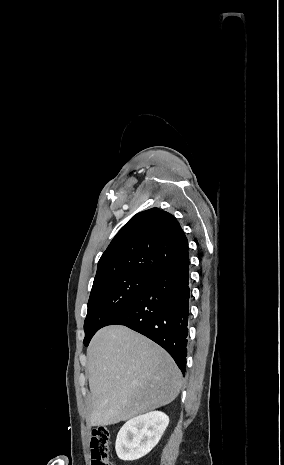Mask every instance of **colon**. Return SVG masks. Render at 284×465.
I'll return each mask as SVG.
<instances>
[{
  "instance_id": "1",
  "label": "colon",
  "mask_w": 284,
  "mask_h": 465,
  "mask_svg": "<svg viewBox=\"0 0 284 465\" xmlns=\"http://www.w3.org/2000/svg\"><path fill=\"white\" fill-rule=\"evenodd\" d=\"M110 431L94 429L91 435L90 465H112L109 455Z\"/></svg>"
}]
</instances>
